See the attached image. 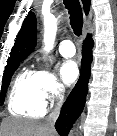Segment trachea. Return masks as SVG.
<instances>
[{
	"label": "trachea",
	"instance_id": "1",
	"mask_svg": "<svg viewBox=\"0 0 117 136\" xmlns=\"http://www.w3.org/2000/svg\"><path fill=\"white\" fill-rule=\"evenodd\" d=\"M65 8L70 15V24L77 36H80L83 26V15L79 0H64Z\"/></svg>",
	"mask_w": 117,
	"mask_h": 136
}]
</instances>
